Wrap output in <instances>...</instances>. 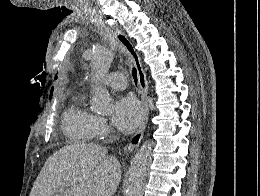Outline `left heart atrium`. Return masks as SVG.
<instances>
[{"mask_svg":"<svg viewBox=\"0 0 260 196\" xmlns=\"http://www.w3.org/2000/svg\"><path fill=\"white\" fill-rule=\"evenodd\" d=\"M143 117L141 104L132 96H121L115 103L112 114L113 125L123 133L134 130Z\"/></svg>","mask_w":260,"mask_h":196,"instance_id":"obj_1","label":"left heart atrium"}]
</instances>
